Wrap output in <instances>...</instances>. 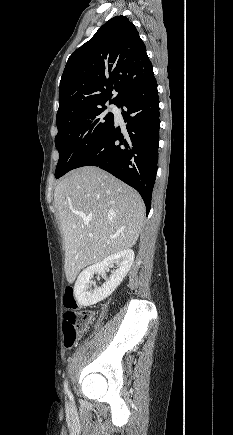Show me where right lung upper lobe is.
<instances>
[{"label": "right lung upper lobe", "mask_w": 233, "mask_h": 435, "mask_svg": "<svg viewBox=\"0 0 233 435\" xmlns=\"http://www.w3.org/2000/svg\"><path fill=\"white\" fill-rule=\"evenodd\" d=\"M153 73L146 47L125 16L107 21L68 59L59 88L56 122L91 109L118 105Z\"/></svg>", "instance_id": "obj_1"}]
</instances>
